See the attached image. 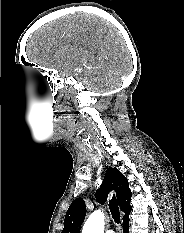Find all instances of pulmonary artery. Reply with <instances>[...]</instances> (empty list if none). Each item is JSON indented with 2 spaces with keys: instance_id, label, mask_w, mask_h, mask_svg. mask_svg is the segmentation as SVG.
<instances>
[{
  "instance_id": "pulmonary-artery-1",
  "label": "pulmonary artery",
  "mask_w": 184,
  "mask_h": 233,
  "mask_svg": "<svg viewBox=\"0 0 184 233\" xmlns=\"http://www.w3.org/2000/svg\"><path fill=\"white\" fill-rule=\"evenodd\" d=\"M105 233H115L113 230L109 229Z\"/></svg>"
}]
</instances>
